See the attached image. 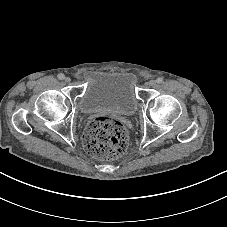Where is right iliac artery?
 <instances>
[{"instance_id": "right-iliac-artery-1", "label": "right iliac artery", "mask_w": 227, "mask_h": 227, "mask_svg": "<svg viewBox=\"0 0 227 227\" xmlns=\"http://www.w3.org/2000/svg\"><path fill=\"white\" fill-rule=\"evenodd\" d=\"M57 77H58V79H60V80H63V79L65 78L64 74H62V73L58 74Z\"/></svg>"}]
</instances>
